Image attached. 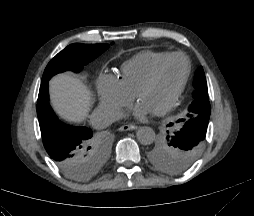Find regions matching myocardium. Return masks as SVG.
<instances>
[{
	"label": "myocardium",
	"mask_w": 254,
	"mask_h": 216,
	"mask_svg": "<svg viewBox=\"0 0 254 216\" xmlns=\"http://www.w3.org/2000/svg\"><path fill=\"white\" fill-rule=\"evenodd\" d=\"M176 57H180L183 58L186 62V70L184 73V76L179 84V86L177 87L176 91L174 92L172 98L170 99V101L160 110H157L154 112L155 115L157 116H162L167 114L168 112H170L175 105L177 104L185 86L186 83L188 81L190 72H191V63L190 60L188 59V57L180 52H174L171 54H168L165 58H163L162 60H160L155 67L153 68V70L151 71V73L149 74L148 78L145 80V82L138 88V90L135 93V98L137 100H139V97L141 95L142 92H144L145 90H147L148 88H150L155 81L157 80V77L162 69V67L171 59L176 58Z\"/></svg>",
	"instance_id": "1"
}]
</instances>
